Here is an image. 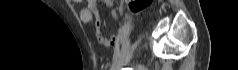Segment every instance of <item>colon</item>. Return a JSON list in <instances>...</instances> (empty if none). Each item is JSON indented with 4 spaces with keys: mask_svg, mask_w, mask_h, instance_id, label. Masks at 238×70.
Here are the masks:
<instances>
[{
    "mask_svg": "<svg viewBox=\"0 0 238 70\" xmlns=\"http://www.w3.org/2000/svg\"><path fill=\"white\" fill-rule=\"evenodd\" d=\"M76 2H79L80 0H74ZM149 0H137L134 1L132 4V9L134 11H139L140 9H142L143 7H145L148 4Z\"/></svg>",
    "mask_w": 238,
    "mask_h": 70,
    "instance_id": "5ec220e1",
    "label": "colon"
}]
</instances>
